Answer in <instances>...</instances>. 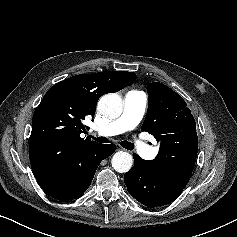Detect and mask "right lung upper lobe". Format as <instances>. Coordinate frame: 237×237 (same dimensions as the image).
Segmentation results:
<instances>
[{"label":"right lung upper lobe","mask_w":237,"mask_h":237,"mask_svg":"<svg viewBox=\"0 0 237 237\" xmlns=\"http://www.w3.org/2000/svg\"><path fill=\"white\" fill-rule=\"evenodd\" d=\"M135 80L134 72L106 71L76 75L52 86L32 119L29 158L36 179L59 173L77 153L97 145L80 137L86 131L83 120L94 116L103 94Z\"/></svg>","instance_id":"1"}]
</instances>
